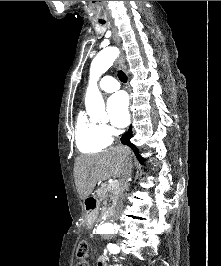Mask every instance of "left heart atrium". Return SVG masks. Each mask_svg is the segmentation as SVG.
Here are the masks:
<instances>
[{
	"instance_id": "39dd6f15",
	"label": "left heart atrium",
	"mask_w": 221,
	"mask_h": 266,
	"mask_svg": "<svg viewBox=\"0 0 221 266\" xmlns=\"http://www.w3.org/2000/svg\"><path fill=\"white\" fill-rule=\"evenodd\" d=\"M129 101L127 95L123 92H118L112 95L107 101V111L111 123L118 127L123 128L129 123Z\"/></svg>"
}]
</instances>
